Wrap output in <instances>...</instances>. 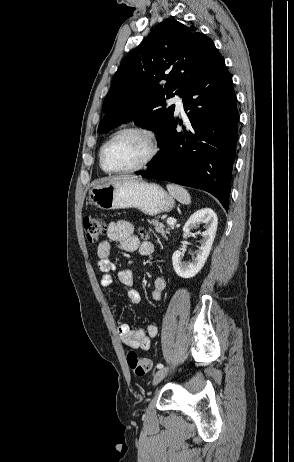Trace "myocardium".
<instances>
[{
	"instance_id": "obj_1",
	"label": "myocardium",
	"mask_w": 294,
	"mask_h": 462,
	"mask_svg": "<svg viewBox=\"0 0 294 462\" xmlns=\"http://www.w3.org/2000/svg\"><path fill=\"white\" fill-rule=\"evenodd\" d=\"M128 132H134V133H139L143 135L149 143V148H150L149 153L147 154L145 159L136 166L125 168V169H117V170L108 169L105 166V162H104V155H105V150L107 146L111 142H113L118 136L124 133H128ZM159 152H160V145L158 142V137L152 129L145 127V126H140V125H130V126H125L117 130L115 133H113L109 137L107 141H105V143L102 145L100 149L99 162H100V166L102 170L107 173H112V174L133 173V172L141 171L147 168L156 159Z\"/></svg>"
}]
</instances>
